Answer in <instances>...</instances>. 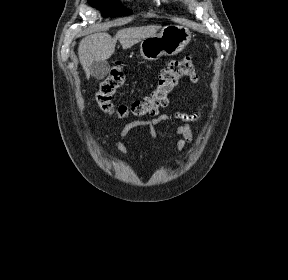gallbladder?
<instances>
[{
    "label": "gallbladder",
    "mask_w": 288,
    "mask_h": 280,
    "mask_svg": "<svg viewBox=\"0 0 288 280\" xmlns=\"http://www.w3.org/2000/svg\"><path fill=\"white\" fill-rule=\"evenodd\" d=\"M110 72V65L107 61H94L89 68V74L98 80L104 79Z\"/></svg>",
    "instance_id": "1"
}]
</instances>
